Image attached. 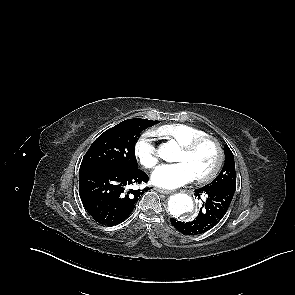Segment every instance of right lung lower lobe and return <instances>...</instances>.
<instances>
[{"label":"right lung lower lobe","instance_id":"obj_1","mask_svg":"<svg viewBox=\"0 0 295 295\" xmlns=\"http://www.w3.org/2000/svg\"><path fill=\"white\" fill-rule=\"evenodd\" d=\"M147 181L148 176L139 168L82 170L79 171L81 201L96 222L114 226L130 216L138 199L149 190H133L129 186Z\"/></svg>","mask_w":295,"mask_h":295}]
</instances>
